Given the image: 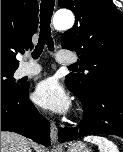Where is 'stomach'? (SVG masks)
Returning <instances> with one entry per match:
<instances>
[{"label": "stomach", "mask_w": 123, "mask_h": 152, "mask_svg": "<svg viewBox=\"0 0 123 152\" xmlns=\"http://www.w3.org/2000/svg\"><path fill=\"white\" fill-rule=\"evenodd\" d=\"M67 152H91V151L83 142L77 141L69 146Z\"/></svg>", "instance_id": "1"}]
</instances>
